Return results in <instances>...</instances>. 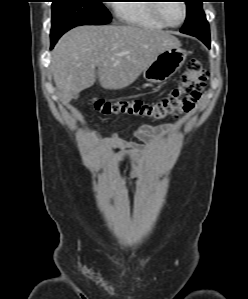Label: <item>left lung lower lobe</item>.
I'll return each mask as SVG.
<instances>
[{
	"label": "left lung lower lobe",
	"mask_w": 248,
	"mask_h": 299,
	"mask_svg": "<svg viewBox=\"0 0 248 299\" xmlns=\"http://www.w3.org/2000/svg\"><path fill=\"white\" fill-rule=\"evenodd\" d=\"M200 38H201V39H204V37H203V36H200ZM207 46H208V47H210V41H209V42H207Z\"/></svg>",
	"instance_id": "1"
}]
</instances>
